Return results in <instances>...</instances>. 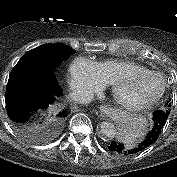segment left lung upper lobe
<instances>
[{
	"mask_svg": "<svg viewBox=\"0 0 177 177\" xmlns=\"http://www.w3.org/2000/svg\"><path fill=\"white\" fill-rule=\"evenodd\" d=\"M171 99L166 103V105H165V107L163 108V110H165V111H170V107H171Z\"/></svg>",
	"mask_w": 177,
	"mask_h": 177,
	"instance_id": "obj_1",
	"label": "left lung upper lobe"
}]
</instances>
